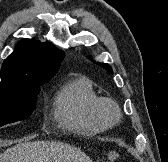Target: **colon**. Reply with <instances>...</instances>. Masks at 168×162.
<instances>
[{
    "mask_svg": "<svg viewBox=\"0 0 168 162\" xmlns=\"http://www.w3.org/2000/svg\"><path fill=\"white\" fill-rule=\"evenodd\" d=\"M107 158L110 162H114V161L119 160L120 156L117 152L111 151L108 153Z\"/></svg>",
    "mask_w": 168,
    "mask_h": 162,
    "instance_id": "1",
    "label": "colon"
}]
</instances>
